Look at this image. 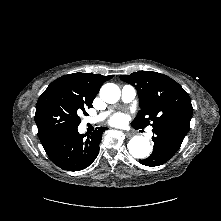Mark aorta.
<instances>
[{"mask_svg":"<svg viewBox=\"0 0 221 221\" xmlns=\"http://www.w3.org/2000/svg\"><path fill=\"white\" fill-rule=\"evenodd\" d=\"M120 89L114 83L104 84L100 89V97L106 103H116L120 99ZM129 153L137 159H144L151 152L149 139L144 136H133L128 143Z\"/></svg>","mask_w":221,"mask_h":221,"instance_id":"obj_1","label":"aorta"}]
</instances>
